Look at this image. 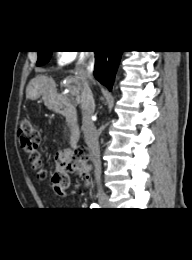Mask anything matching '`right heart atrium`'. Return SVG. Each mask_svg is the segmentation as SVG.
Instances as JSON below:
<instances>
[{
    "mask_svg": "<svg viewBox=\"0 0 192 260\" xmlns=\"http://www.w3.org/2000/svg\"><path fill=\"white\" fill-rule=\"evenodd\" d=\"M77 57V53L73 51H62L57 55L58 63L61 65H66L74 61Z\"/></svg>",
    "mask_w": 192,
    "mask_h": 260,
    "instance_id": "obj_1",
    "label": "right heart atrium"
}]
</instances>
